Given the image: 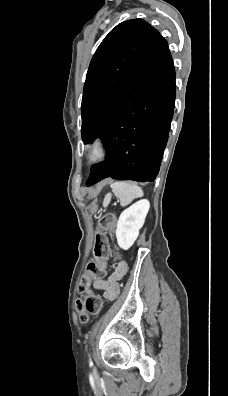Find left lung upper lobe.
Here are the masks:
<instances>
[{
  "label": "left lung upper lobe",
  "instance_id": "1",
  "mask_svg": "<svg viewBox=\"0 0 228 396\" xmlns=\"http://www.w3.org/2000/svg\"><path fill=\"white\" fill-rule=\"evenodd\" d=\"M159 32L143 19L118 24L96 50L82 97V139L98 137L111 112L141 72Z\"/></svg>",
  "mask_w": 228,
  "mask_h": 396
}]
</instances>
